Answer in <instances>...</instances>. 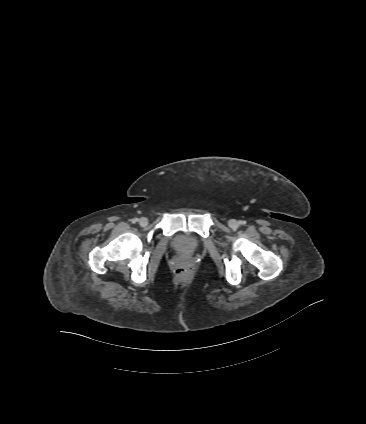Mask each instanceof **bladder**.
Returning <instances> with one entry per match:
<instances>
[{
  "mask_svg": "<svg viewBox=\"0 0 366 424\" xmlns=\"http://www.w3.org/2000/svg\"><path fill=\"white\" fill-rule=\"evenodd\" d=\"M174 247L182 253H193L199 246L197 238L190 234L181 233L175 236Z\"/></svg>",
  "mask_w": 366,
  "mask_h": 424,
  "instance_id": "obj_1",
  "label": "bladder"
}]
</instances>
